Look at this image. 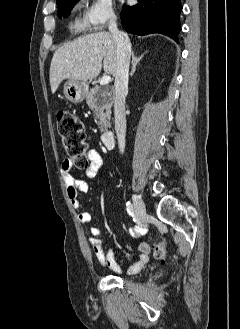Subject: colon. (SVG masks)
Listing matches in <instances>:
<instances>
[{
	"instance_id": "5ec220e1",
	"label": "colon",
	"mask_w": 240,
	"mask_h": 329,
	"mask_svg": "<svg viewBox=\"0 0 240 329\" xmlns=\"http://www.w3.org/2000/svg\"><path fill=\"white\" fill-rule=\"evenodd\" d=\"M57 125L67 156L76 167H86L88 144L79 118L69 111L60 110L57 114ZM154 254L159 259L165 257L164 241L156 245Z\"/></svg>"
}]
</instances>
